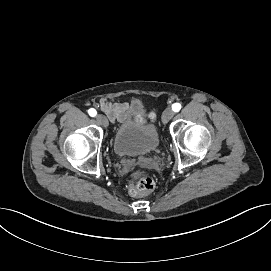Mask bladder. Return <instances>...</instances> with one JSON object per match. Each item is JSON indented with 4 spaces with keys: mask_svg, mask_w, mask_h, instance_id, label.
Returning <instances> with one entry per match:
<instances>
[{
    "mask_svg": "<svg viewBox=\"0 0 271 271\" xmlns=\"http://www.w3.org/2000/svg\"><path fill=\"white\" fill-rule=\"evenodd\" d=\"M139 114L135 113V116ZM159 134L148 123L142 125L135 119L123 123L115 132L113 149L118 156L146 155L159 149Z\"/></svg>",
    "mask_w": 271,
    "mask_h": 271,
    "instance_id": "obj_1",
    "label": "bladder"
}]
</instances>
